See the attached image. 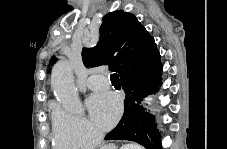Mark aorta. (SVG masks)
<instances>
[{"label":"aorta","instance_id":"obj_1","mask_svg":"<svg viewBox=\"0 0 227 149\" xmlns=\"http://www.w3.org/2000/svg\"><path fill=\"white\" fill-rule=\"evenodd\" d=\"M51 85L56 99L73 114L82 111L79 94L74 85L73 72L67 61L57 63L52 70Z\"/></svg>","mask_w":227,"mask_h":149}]
</instances>
